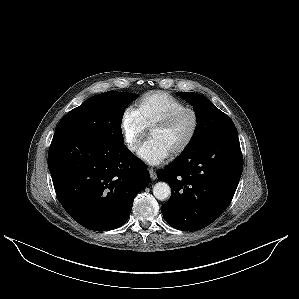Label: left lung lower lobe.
Returning a JSON list of instances; mask_svg holds the SVG:
<instances>
[{
  "mask_svg": "<svg viewBox=\"0 0 299 299\" xmlns=\"http://www.w3.org/2000/svg\"><path fill=\"white\" fill-rule=\"evenodd\" d=\"M243 170L237 129H230L204 148L183 154L157 173L169 183L170 199L161 206L165 221L184 231L214 222L230 204Z\"/></svg>",
  "mask_w": 299,
  "mask_h": 299,
  "instance_id": "obj_1",
  "label": "left lung lower lobe"
}]
</instances>
